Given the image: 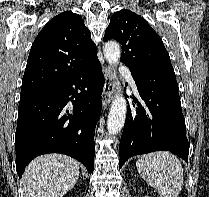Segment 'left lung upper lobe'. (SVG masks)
Listing matches in <instances>:
<instances>
[{"label":"left lung upper lobe","instance_id":"left-lung-upper-lobe-1","mask_svg":"<svg viewBox=\"0 0 209 197\" xmlns=\"http://www.w3.org/2000/svg\"><path fill=\"white\" fill-rule=\"evenodd\" d=\"M122 45V62L138 78L155 82H176L169 54L159 35L139 15L129 10L113 14L104 40Z\"/></svg>","mask_w":209,"mask_h":197}]
</instances>
